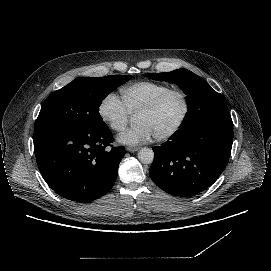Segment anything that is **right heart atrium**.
I'll list each match as a JSON object with an SVG mask.
<instances>
[{"label": "right heart atrium", "mask_w": 271, "mask_h": 271, "mask_svg": "<svg viewBox=\"0 0 271 271\" xmlns=\"http://www.w3.org/2000/svg\"><path fill=\"white\" fill-rule=\"evenodd\" d=\"M97 112L99 118L113 132H122L128 125L131 116L123 101L114 91H109L102 97Z\"/></svg>", "instance_id": "d8ad5b80"}]
</instances>
